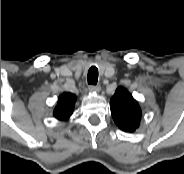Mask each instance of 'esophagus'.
<instances>
[{
  "mask_svg": "<svg viewBox=\"0 0 184 174\" xmlns=\"http://www.w3.org/2000/svg\"><path fill=\"white\" fill-rule=\"evenodd\" d=\"M88 89L91 92H99L101 90V87L99 85H90Z\"/></svg>",
  "mask_w": 184,
  "mask_h": 174,
  "instance_id": "34e87169",
  "label": "esophagus"
}]
</instances>
